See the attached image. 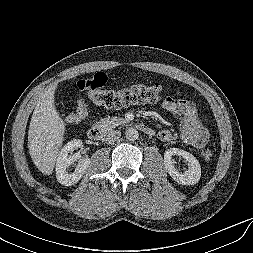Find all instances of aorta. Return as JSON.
<instances>
[{
  "mask_svg": "<svg viewBox=\"0 0 253 253\" xmlns=\"http://www.w3.org/2000/svg\"><path fill=\"white\" fill-rule=\"evenodd\" d=\"M125 136H126V139H128L129 141H134L138 139L139 133L137 129L131 127L126 130Z\"/></svg>",
  "mask_w": 253,
  "mask_h": 253,
  "instance_id": "762f6f07",
  "label": "aorta"
}]
</instances>
